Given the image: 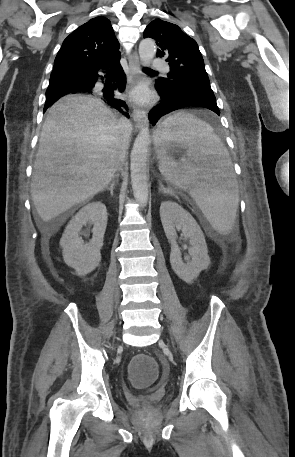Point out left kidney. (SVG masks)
Masks as SVG:
<instances>
[{
	"label": "left kidney",
	"instance_id": "5707ae66",
	"mask_svg": "<svg viewBox=\"0 0 295 457\" xmlns=\"http://www.w3.org/2000/svg\"><path fill=\"white\" fill-rule=\"evenodd\" d=\"M160 218L166 237L171 244L170 263L180 279L188 284L195 280L200 272L208 268L210 258L204 234L193 216L182 206L172 201H165L160 206ZM176 228L190 240V261L184 263L176 242Z\"/></svg>",
	"mask_w": 295,
	"mask_h": 457
}]
</instances>
